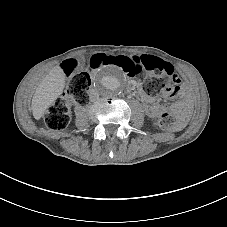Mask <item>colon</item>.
Listing matches in <instances>:
<instances>
[{"label":"colon","instance_id":"1","mask_svg":"<svg viewBox=\"0 0 227 227\" xmlns=\"http://www.w3.org/2000/svg\"><path fill=\"white\" fill-rule=\"evenodd\" d=\"M114 65L129 77H135L142 72L149 73L145 80L144 91L149 94L165 92L176 94L180 87V80L175 75L172 65L152 55L128 56L121 53L97 54L90 58L88 65ZM77 62L68 60L63 64V71L69 78L62 97L57 99L46 111L44 122L52 130L64 129L70 121V104L72 102L84 105L88 100L90 78L86 72H76ZM176 116L163 113L154 125L162 130H172L176 127Z\"/></svg>","mask_w":227,"mask_h":227}]
</instances>
